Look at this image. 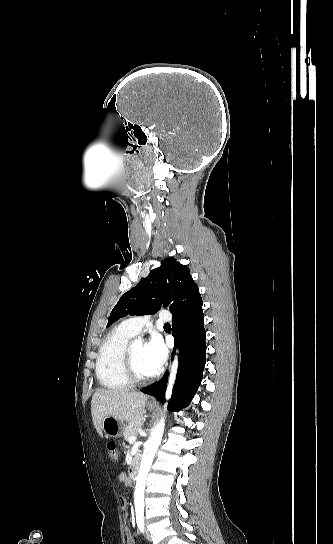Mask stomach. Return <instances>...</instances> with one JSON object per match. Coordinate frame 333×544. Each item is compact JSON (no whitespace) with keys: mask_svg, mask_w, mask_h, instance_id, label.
I'll use <instances>...</instances> for the list:
<instances>
[{"mask_svg":"<svg viewBox=\"0 0 333 544\" xmlns=\"http://www.w3.org/2000/svg\"><path fill=\"white\" fill-rule=\"evenodd\" d=\"M150 410H154L152 406H149ZM125 424L123 421L117 420L111 416H107L102 422V431H104L107 437L117 438L122 436L124 432Z\"/></svg>","mask_w":333,"mask_h":544,"instance_id":"1","label":"stomach"}]
</instances>
